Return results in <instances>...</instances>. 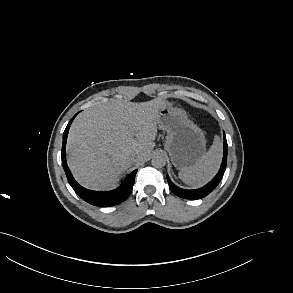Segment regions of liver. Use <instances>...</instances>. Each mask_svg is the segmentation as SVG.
Returning a JSON list of instances; mask_svg holds the SVG:
<instances>
[{"label":"liver","instance_id":"6515ba94","mask_svg":"<svg viewBox=\"0 0 293 293\" xmlns=\"http://www.w3.org/2000/svg\"><path fill=\"white\" fill-rule=\"evenodd\" d=\"M165 101L156 98L134 103L114 101L82 111L73 121L67 140V161L84 187L104 190L121 174L144 161L155 147L157 117Z\"/></svg>","mask_w":293,"mask_h":293}]
</instances>
